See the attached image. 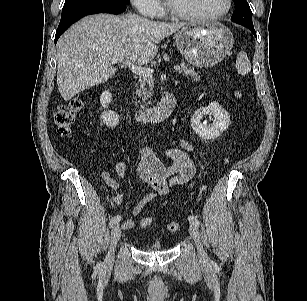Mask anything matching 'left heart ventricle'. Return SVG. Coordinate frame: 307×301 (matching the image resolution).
<instances>
[{"label": "left heart ventricle", "mask_w": 307, "mask_h": 301, "mask_svg": "<svg viewBox=\"0 0 307 301\" xmlns=\"http://www.w3.org/2000/svg\"><path fill=\"white\" fill-rule=\"evenodd\" d=\"M172 6L192 14H214L222 11L227 0H167Z\"/></svg>", "instance_id": "1"}]
</instances>
